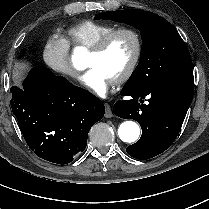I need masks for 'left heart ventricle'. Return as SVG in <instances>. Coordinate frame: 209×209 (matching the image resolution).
Segmentation results:
<instances>
[{
    "label": "left heart ventricle",
    "mask_w": 209,
    "mask_h": 209,
    "mask_svg": "<svg viewBox=\"0 0 209 209\" xmlns=\"http://www.w3.org/2000/svg\"><path fill=\"white\" fill-rule=\"evenodd\" d=\"M135 50L133 38L128 34L117 35L101 55L88 54L87 66L98 67L107 76L117 79L131 61Z\"/></svg>",
    "instance_id": "obj_1"
}]
</instances>
